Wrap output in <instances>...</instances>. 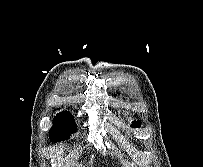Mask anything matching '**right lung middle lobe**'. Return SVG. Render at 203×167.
<instances>
[{
	"instance_id": "obj_1",
	"label": "right lung middle lobe",
	"mask_w": 203,
	"mask_h": 167,
	"mask_svg": "<svg viewBox=\"0 0 203 167\" xmlns=\"http://www.w3.org/2000/svg\"><path fill=\"white\" fill-rule=\"evenodd\" d=\"M76 131V124L73 116L69 113H59L53 120V126L49 132L53 142L68 139L69 134Z\"/></svg>"
}]
</instances>
